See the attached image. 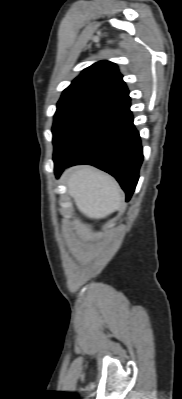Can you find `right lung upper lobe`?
I'll use <instances>...</instances> for the list:
<instances>
[{"mask_svg":"<svg viewBox=\"0 0 182 399\" xmlns=\"http://www.w3.org/2000/svg\"><path fill=\"white\" fill-rule=\"evenodd\" d=\"M128 94L117 65L109 61H99L84 69L63 91L62 97L87 96L108 103Z\"/></svg>","mask_w":182,"mask_h":399,"instance_id":"1","label":"right lung upper lobe"}]
</instances>
